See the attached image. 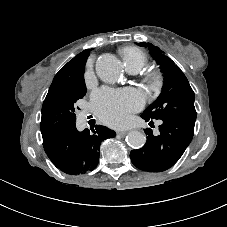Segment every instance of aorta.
<instances>
[{
    "label": "aorta",
    "instance_id": "762f6f07",
    "mask_svg": "<svg viewBox=\"0 0 227 227\" xmlns=\"http://www.w3.org/2000/svg\"><path fill=\"white\" fill-rule=\"evenodd\" d=\"M95 70L98 77L106 83L116 82L120 78L122 72L118 58L109 53L103 54L97 59ZM126 141L132 148L139 149L144 146L146 136L140 131L132 130L127 134Z\"/></svg>",
    "mask_w": 227,
    "mask_h": 227
}]
</instances>
